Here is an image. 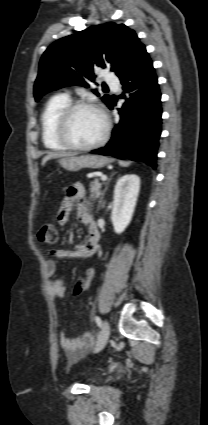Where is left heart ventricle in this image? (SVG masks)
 Returning <instances> with one entry per match:
<instances>
[{"label":"left heart ventricle","instance_id":"obj_1","mask_svg":"<svg viewBox=\"0 0 208 425\" xmlns=\"http://www.w3.org/2000/svg\"><path fill=\"white\" fill-rule=\"evenodd\" d=\"M104 130L101 115L90 109H80L73 115L70 124V137L79 145H88L97 141Z\"/></svg>","mask_w":208,"mask_h":425}]
</instances>
